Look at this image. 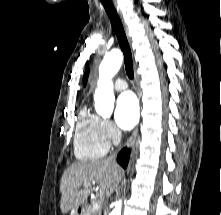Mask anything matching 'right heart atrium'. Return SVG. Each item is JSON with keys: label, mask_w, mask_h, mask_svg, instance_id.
<instances>
[{"label": "right heart atrium", "mask_w": 221, "mask_h": 215, "mask_svg": "<svg viewBox=\"0 0 221 215\" xmlns=\"http://www.w3.org/2000/svg\"><path fill=\"white\" fill-rule=\"evenodd\" d=\"M101 132L107 142H117L120 132L109 120H101Z\"/></svg>", "instance_id": "obj_1"}]
</instances>
